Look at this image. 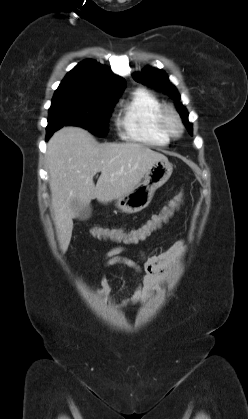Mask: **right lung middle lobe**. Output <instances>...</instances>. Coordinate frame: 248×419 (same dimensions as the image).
Wrapping results in <instances>:
<instances>
[{
	"instance_id": "dd1d6c3e",
	"label": "right lung middle lobe",
	"mask_w": 248,
	"mask_h": 419,
	"mask_svg": "<svg viewBox=\"0 0 248 419\" xmlns=\"http://www.w3.org/2000/svg\"><path fill=\"white\" fill-rule=\"evenodd\" d=\"M119 96L97 97L69 91H56L49 109L47 132L75 125L104 137L107 120Z\"/></svg>"
}]
</instances>
